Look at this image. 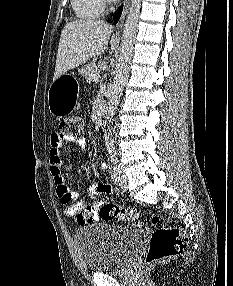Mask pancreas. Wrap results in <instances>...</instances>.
Here are the masks:
<instances>
[{
  "mask_svg": "<svg viewBox=\"0 0 233 286\" xmlns=\"http://www.w3.org/2000/svg\"><path fill=\"white\" fill-rule=\"evenodd\" d=\"M79 73L85 77L86 81L87 82H91V81H94V79L92 78V75L93 74H99V70L98 68L96 67L95 65V62H91L87 65H85L84 67H82L80 70H79Z\"/></svg>",
  "mask_w": 233,
  "mask_h": 286,
  "instance_id": "obj_1",
  "label": "pancreas"
}]
</instances>
